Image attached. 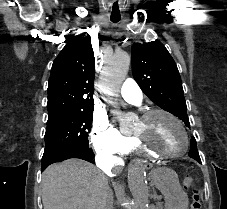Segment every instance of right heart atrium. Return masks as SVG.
<instances>
[{"mask_svg":"<svg viewBox=\"0 0 227 209\" xmlns=\"http://www.w3.org/2000/svg\"><path fill=\"white\" fill-rule=\"evenodd\" d=\"M129 138L122 134L105 118L94 120L91 134V144L94 152L105 157L122 156L128 146Z\"/></svg>","mask_w":227,"mask_h":209,"instance_id":"right-heart-atrium-1","label":"right heart atrium"}]
</instances>
